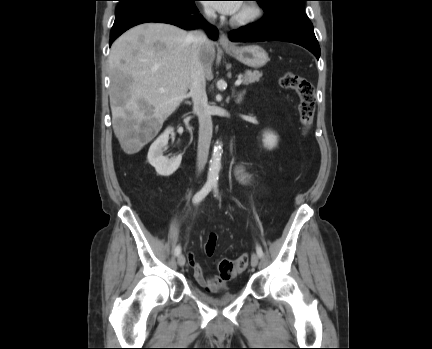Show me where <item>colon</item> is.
Wrapping results in <instances>:
<instances>
[{
  "instance_id": "colon-1",
  "label": "colon",
  "mask_w": 432,
  "mask_h": 349,
  "mask_svg": "<svg viewBox=\"0 0 432 349\" xmlns=\"http://www.w3.org/2000/svg\"><path fill=\"white\" fill-rule=\"evenodd\" d=\"M281 87L293 90L299 97L298 112L299 119L304 132H307L312 126L315 114V90L312 83L299 75L292 72L284 73L280 79ZM217 236L211 233L205 244V252L208 256H212L216 249ZM249 257L247 254L241 255L236 260L223 258L218 261L217 268L219 277L222 280L229 281L242 273L248 267Z\"/></svg>"
}]
</instances>
